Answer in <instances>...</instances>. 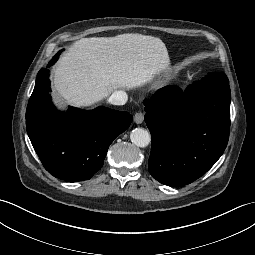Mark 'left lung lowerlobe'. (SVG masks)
Wrapping results in <instances>:
<instances>
[{
	"label": "left lung lower lobe",
	"mask_w": 255,
	"mask_h": 255,
	"mask_svg": "<svg viewBox=\"0 0 255 255\" xmlns=\"http://www.w3.org/2000/svg\"><path fill=\"white\" fill-rule=\"evenodd\" d=\"M230 87L224 73H210L185 91L169 85L145 104L152 136L150 174L168 186H184L221 157L229 138Z\"/></svg>",
	"instance_id": "0a47b994"
}]
</instances>
